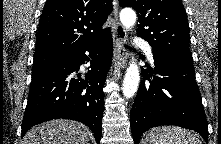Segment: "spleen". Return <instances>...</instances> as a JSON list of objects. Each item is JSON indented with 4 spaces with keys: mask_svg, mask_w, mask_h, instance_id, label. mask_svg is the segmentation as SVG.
I'll return each instance as SVG.
<instances>
[{
    "mask_svg": "<svg viewBox=\"0 0 221 144\" xmlns=\"http://www.w3.org/2000/svg\"><path fill=\"white\" fill-rule=\"evenodd\" d=\"M150 144H201V141L187 129L165 126L151 133Z\"/></svg>",
    "mask_w": 221,
    "mask_h": 144,
    "instance_id": "spleen-1",
    "label": "spleen"
}]
</instances>
